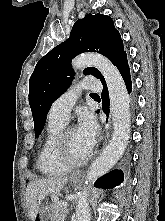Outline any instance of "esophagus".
<instances>
[{
  "mask_svg": "<svg viewBox=\"0 0 165 221\" xmlns=\"http://www.w3.org/2000/svg\"><path fill=\"white\" fill-rule=\"evenodd\" d=\"M110 128H111V122H109V131H108V134H107V138L109 137Z\"/></svg>",
  "mask_w": 165,
  "mask_h": 221,
  "instance_id": "obj_1",
  "label": "esophagus"
}]
</instances>
